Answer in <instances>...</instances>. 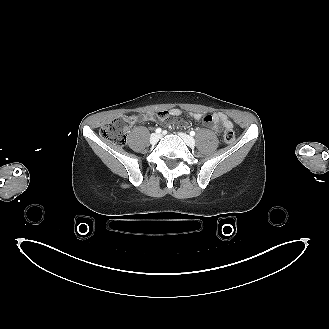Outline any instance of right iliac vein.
I'll use <instances>...</instances> for the list:
<instances>
[{
	"mask_svg": "<svg viewBox=\"0 0 329 329\" xmlns=\"http://www.w3.org/2000/svg\"><path fill=\"white\" fill-rule=\"evenodd\" d=\"M160 134H152L150 136V143L151 144H156L158 142V140L160 139Z\"/></svg>",
	"mask_w": 329,
	"mask_h": 329,
	"instance_id": "63e3f726",
	"label": "right iliac vein"
}]
</instances>
